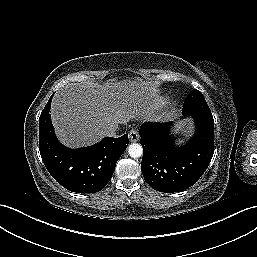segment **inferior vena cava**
Instances as JSON below:
<instances>
[{
    "label": "inferior vena cava",
    "mask_w": 257,
    "mask_h": 257,
    "mask_svg": "<svg viewBox=\"0 0 257 257\" xmlns=\"http://www.w3.org/2000/svg\"><path fill=\"white\" fill-rule=\"evenodd\" d=\"M115 131H116L115 129L107 130V131L105 132V135H106V136H109V137H116L117 135H116V132H115Z\"/></svg>",
    "instance_id": "inferior-vena-cava-1"
}]
</instances>
